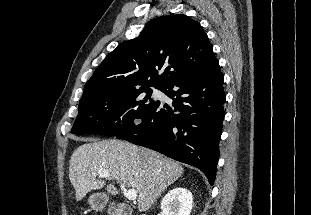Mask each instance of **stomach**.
Returning <instances> with one entry per match:
<instances>
[{"label": "stomach", "instance_id": "obj_1", "mask_svg": "<svg viewBox=\"0 0 311 215\" xmlns=\"http://www.w3.org/2000/svg\"><path fill=\"white\" fill-rule=\"evenodd\" d=\"M108 202V197L104 193H94L89 199L88 203L91 209L95 211H102ZM109 215H117V209L115 206L110 205L108 208Z\"/></svg>", "mask_w": 311, "mask_h": 215}]
</instances>
